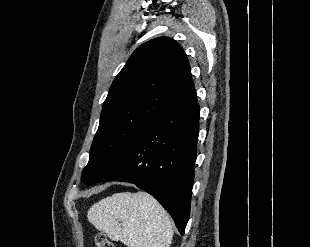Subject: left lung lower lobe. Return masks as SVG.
Wrapping results in <instances>:
<instances>
[{
	"label": "left lung lower lobe",
	"instance_id": "1",
	"mask_svg": "<svg viewBox=\"0 0 310 247\" xmlns=\"http://www.w3.org/2000/svg\"><path fill=\"white\" fill-rule=\"evenodd\" d=\"M198 133L199 105L193 86L99 181L129 182L153 195L183 235L190 215Z\"/></svg>",
	"mask_w": 310,
	"mask_h": 247
}]
</instances>
